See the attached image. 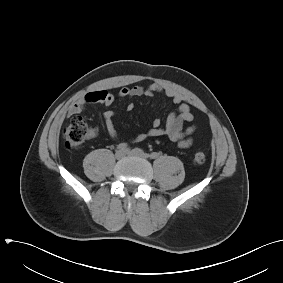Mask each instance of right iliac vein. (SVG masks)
<instances>
[{
  "label": "right iliac vein",
  "instance_id": "right-iliac-vein-1",
  "mask_svg": "<svg viewBox=\"0 0 283 283\" xmlns=\"http://www.w3.org/2000/svg\"><path fill=\"white\" fill-rule=\"evenodd\" d=\"M126 152L125 151H122V150H118L116 153H115V158L116 159H122L124 156H125Z\"/></svg>",
  "mask_w": 283,
  "mask_h": 283
}]
</instances>
